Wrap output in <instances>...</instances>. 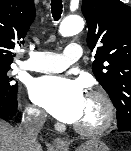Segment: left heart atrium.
I'll return each mask as SVG.
<instances>
[{"label":"left heart atrium","instance_id":"1","mask_svg":"<svg viewBox=\"0 0 131 151\" xmlns=\"http://www.w3.org/2000/svg\"><path fill=\"white\" fill-rule=\"evenodd\" d=\"M34 103L65 123H76L82 115L85 95L80 82L59 76H43L29 84Z\"/></svg>","mask_w":131,"mask_h":151}]
</instances>
